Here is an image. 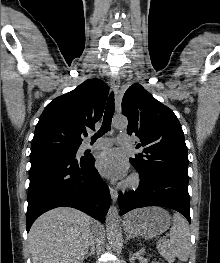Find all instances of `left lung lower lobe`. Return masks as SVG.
I'll list each match as a JSON object with an SVG mask.
<instances>
[{"instance_id":"0a47b994","label":"left lung lower lobe","mask_w":220,"mask_h":263,"mask_svg":"<svg viewBox=\"0 0 220 263\" xmlns=\"http://www.w3.org/2000/svg\"><path fill=\"white\" fill-rule=\"evenodd\" d=\"M118 203L120 215L135 208L162 206L180 212L190 223L188 180L169 172L140 174L138 189L120 193Z\"/></svg>"}]
</instances>
